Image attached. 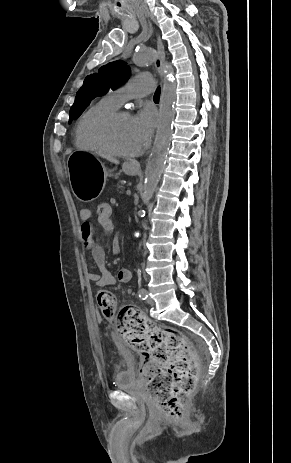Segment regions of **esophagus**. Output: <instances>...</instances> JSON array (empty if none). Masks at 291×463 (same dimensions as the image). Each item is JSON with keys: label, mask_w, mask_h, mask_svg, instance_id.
<instances>
[{"label": "esophagus", "mask_w": 291, "mask_h": 463, "mask_svg": "<svg viewBox=\"0 0 291 463\" xmlns=\"http://www.w3.org/2000/svg\"><path fill=\"white\" fill-rule=\"evenodd\" d=\"M157 49H158V57L155 60V67L159 71V73L162 75V69H163V65L165 62V51H164V45L160 37H157ZM131 164L137 167L140 166L139 162L135 160L131 161Z\"/></svg>", "instance_id": "obj_1"}]
</instances>
